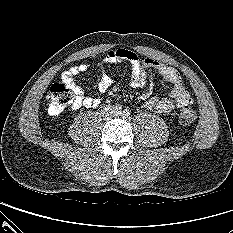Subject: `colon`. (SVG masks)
I'll use <instances>...</instances> for the list:
<instances>
[{
    "label": "colon",
    "instance_id": "5ec220e1",
    "mask_svg": "<svg viewBox=\"0 0 233 233\" xmlns=\"http://www.w3.org/2000/svg\"><path fill=\"white\" fill-rule=\"evenodd\" d=\"M75 95L65 83H55L47 94L48 111L51 115L60 114L63 109L74 102ZM196 118V113L190 105L182 107L179 120L182 124H191Z\"/></svg>",
    "mask_w": 233,
    "mask_h": 233
}]
</instances>
